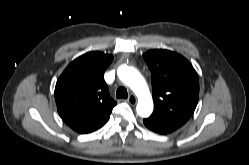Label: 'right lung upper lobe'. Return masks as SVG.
I'll use <instances>...</instances> for the list:
<instances>
[{
  "label": "right lung upper lobe",
  "instance_id": "right-lung-upper-lobe-1",
  "mask_svg": "<svg viewBox=\"0 0 249 165\" xmlns=\"http://www.w3.org/2000/svg\"><path fill=\"white\" fill-rule=\"evenodd\" d=\"M113 56L94 51L72 61L59 77L55 101L62 120L78 133L102 127L116 102L110 97L103 74Z\"/></svg>",
  "mask_w": 249,
  "mask_h": 165
}]
</instances>
